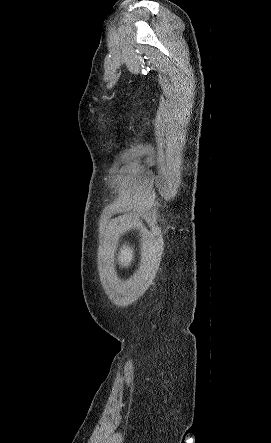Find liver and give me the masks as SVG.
Instances as JSON below:
<instances>
[{
  "instance_id": "6515ba94",
  "label": "liver",
  "mask_w": 271,
  "mask_h": 443,
  "mask_svg": "<svg viewBox=\"0 0 271 443\" xmlns=\"http://www.w3.org/2000/svg\"><path fill=\"white\" fill-rule=\"evenodd\" d=\"M133 255L134 249H132L130 245H127V243H125V245H122L118 253V261L121 267H128V265H131V261H133Z\"/></svg>"
}]
</instances>
